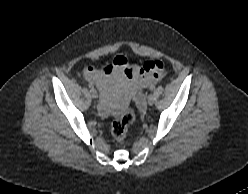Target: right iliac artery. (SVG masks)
I'll list each match as a JSON object with an SVG mask.
<instances>
[{
    "label": "right iliac artery",
    "mask_w": 248,
    "mask_h": 194,
    "mask_svg": "<svg viewBox=\"0 0 248 194\" xmlns=\"http://www.w3.org/2000/svg\"><path fill=\"white\" fill-rule=\"evenodd\" d=\"M88 87H89L90 89H94V86H93L92 83H89V84H88Z\"/></svg>",
    "instance_id": "82829eb1"
}]
</instances>
